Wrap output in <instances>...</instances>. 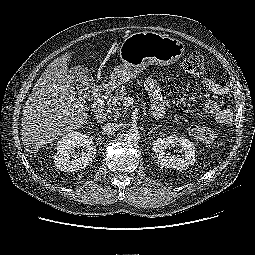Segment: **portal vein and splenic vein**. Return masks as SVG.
Masks as SVG:
<instances>
[{"mask_svg": "<svg viewBox=\"0 0 255 255\" xmlns=\"http://www.w3.org/2000/svg\"><path fill=\"white\" fill-rule=\"evenodd\" d=\"M133 103V98L132 97H125L123 100V105L124 106H129Z\"/></svg>", "mask_w": 255, "mask_h": 255, "instance_id": "obj_1", "label": "portal vein and splenic vein"}]
</instances>
